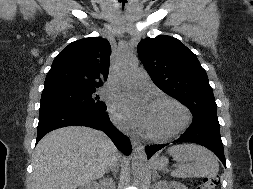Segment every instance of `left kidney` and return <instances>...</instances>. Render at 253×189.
Masks as SVG:
<instances>
[{
    "label": "left kidney",
    "mask_w": 253,
    "mask_h": 189,
    "mask_svg": "<svg viewBox=\"0 0 253 189\" xmlns=\"http://www.w3.org/2000/svg\"><path fill=\"white\" fill-rule=\"evenodd\" d=\"M154 189H188L184 184L179 182L160 181L154 185Z\"/></svg>",
    "instance_id": "5707ae66"
}]
</instances>
